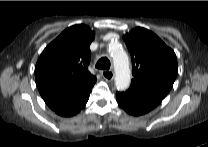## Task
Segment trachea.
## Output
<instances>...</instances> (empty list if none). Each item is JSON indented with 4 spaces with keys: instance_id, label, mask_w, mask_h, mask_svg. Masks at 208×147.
<instances>
[{
    "instance_id": "obj_1",
    "label": "trachea",
    "mask_w": 208,
    "mask_h": 147,
    "mask_svg": "<svg viewBox=\"0 0 208 147\" xmlns=\"http://www.w3.org/2000/svg\"><path fill=\"white\" fill-rule=\"evenodd\" d=\"M96 68L103 69V70H108L110 68V61L108 60L107 57H102L96 63Z\"/></svg>"
}]
</instances>
